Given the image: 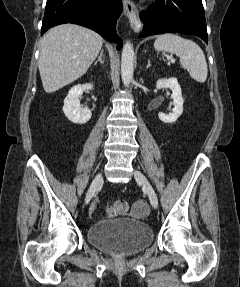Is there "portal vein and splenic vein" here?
I'll use <instances>...</instances> for the list:
<instances>
[{"label": "portal vein and splenic vein", "mask_w": 240, "mask_h": 287, "mask_svg": "<svg viewBox=\"0 0 240 287\" xmlns=\"http://www.w3.org/2000/svg\"><path fill=\"white\" fill-rule=\"evenodd\" d=\"M171 61H175L173 58H171Z\"/></svg>", "instance_id": "18ae733b"}]
</instances>
